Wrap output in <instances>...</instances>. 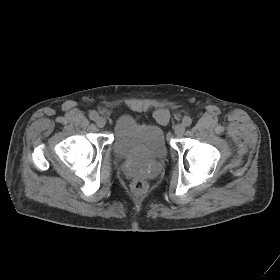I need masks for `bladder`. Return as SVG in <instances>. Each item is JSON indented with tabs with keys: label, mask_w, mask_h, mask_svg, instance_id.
I'll return each instance as SVG.
<instances>
[{
	"label": "bladder",
	"mask_w": 280,
	"mask_h": 280,
	"mask_svg": "<svg viewBox=\"0 0 280 280\" xmlns=\"http://www.w3.org/2000/svg\"><path fill=\"white\" fill-rule=\"evenodd\" d=\"M113 151L119 158L162 160L168 155L163 129L138 122L131 115L120 116L114 124Z\"/></svg>",
	"instance_id": "1"
}]
</instances>
